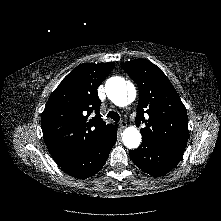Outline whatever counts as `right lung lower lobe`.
Returning a JSON list of instances; mask_svg holds the SVG:
<instances>
[{"label": "right lung lower lobe", "instance_id": "1", "mask_svg": "<svg viewBox=\"0 0 221 221\" xmlns=\"http://www.w3.org/2000/svg\"><path fill=\"white\" fill-rule=\"evenodd\" d=\"M117 140V129L91 150L72 163L60 166L67 174L79 178L86 179L96 174L105 164L110 150Z\"/></svg>", "mask_w": 221, "mask_h": 221}]
</instances>
